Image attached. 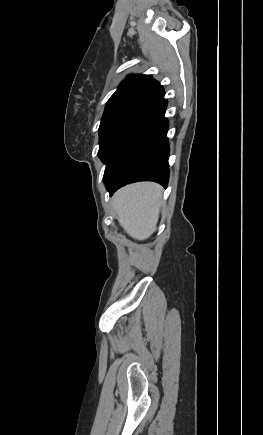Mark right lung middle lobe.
<instances>
[{
  "mask_svg": "<svg viewBox=\"0 0 263 435\" xmlns=\"http://www.w3.org/2000/svg\"><path fill=\"white\" fill-rule=\"evenodd\" d=\"M144 105L121 104L105 108L99 127L98 156L107 165L116 154L131 122Z\"/></svg>",
  "mask_w": 263,
  "mask_h": 435,
  "instance_id": "right-lung-middle-lobe-1",
  "label": "right lung middle lobe"
}]
</instances>
